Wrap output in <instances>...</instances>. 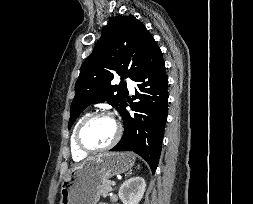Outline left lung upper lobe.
<instances>
[{
    "label": "left lung upper lobe",
    "mask_w": 253,
    "mask_h": 204,
    "mask_svg": "<svg viewBox=\"0 0 253 204\" xmlns=\"http://www.w3.org/2000/svg\"><path fill=\"white\" fill-rule=\"evenodd\" d=\"M155 44L146 27L134 16L110 19L93 52L81 66L68 128L92 103L107 101L120 113L127 90L111 85V80L117 74L122 76L121 82L124 76L133 80Z\"/></svg>",
    "instance_id": "5c2ea615"
}]
</instances>
